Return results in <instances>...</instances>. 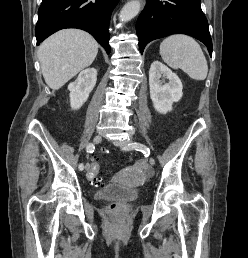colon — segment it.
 I'll use <instances>...</instances> for the list:
<instances>
[{"label":"colon","mask_w":248,"mask_h":258,"mask_svg":"<svg viewBox=\"0 0 248 258\" xmlns=\"http://www.w3.org/2000/svg\"><path fill=\"white\" fill-rule=\"evenodd\" d=\"M102 147L104 150L107 149L104 145ZM104 153L106 154L107 152L105 151ZM87 170L89 171V174H85V179L90 180L94 185H100L102 182V179L97 174V172L101 170V164L96 163L95 159H90Z\"/></svg>","instance_id":"1"}]
</instances>
